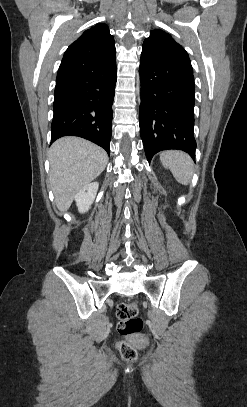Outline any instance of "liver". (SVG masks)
Here are the masks:
<instances>
[{
	"instance_id": "obj_1",
	"label": "liver",
	"mask_w": 247,
	"mask_h": 407,
	"mask_svg": "<svg viewBox=\"0 0 247 407\" xmlns=\"http://www.w3.org/2000/svg\"><path fill=\"white\" fill-rule=\"evenodd\" d=\"M49 161L55 203L61 212H66L76 194L104 171L108 155L90 141L63 137L51 146Z\"/></svg>"
}]
</instances>
